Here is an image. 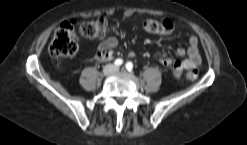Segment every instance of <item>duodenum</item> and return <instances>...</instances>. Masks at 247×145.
I'll use <instances>...</instances> for the list:
<instances>
[{
	"label": "duodenum",
	"mask_w": 247,
	"mask_h": 145,
	"mask_svg": "<svg viewBox=\"0 0 247 145\" xmlns=\"http://www.w3.org/2000/svg\"><path fill=\"white\" fill-rule=\"evenodd\" d=\"M110 58H111V55H109L108 53H104L100 55L101 60H108Z\"/></svg>",
	"instance_id": "1"
}]
</instances>
